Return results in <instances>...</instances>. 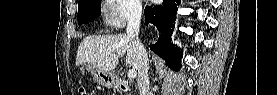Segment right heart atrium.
<instances>
[{
    "instance_id": "1",
    "label": "right heart atrium",
    "mask_w": 277,
    "mask_h": 95,
    "mask_svg": "<svg viewBox=\"0 0 277 95\" xmlns=\"http://www.w3.org/2000/svg\"><path fill=\"white\" fill-rule=\"evenodd\" d=\"M111 7L105 18L109 27L115 30L123 28L127 22L140 15L141 7L138 0H110Z\"/></svg>"
}]
</instances>
